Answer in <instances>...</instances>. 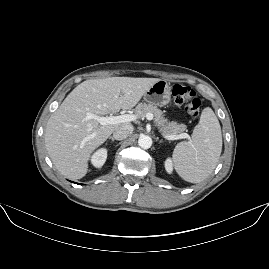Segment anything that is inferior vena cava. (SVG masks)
<instances>
[{"instance_id":"inferior-vena-cava-1","label":"inferior vena cava","mask_w":269,"mask_h":269,"mask_svg":"<svg viewBox=\"0 0 269 269\" xmlns=\"http://www.w3.org/2000/svg\"><path fill=\"white\" fill-rule=\"evenodd\" d=\"M132 127L128 126V125H124L121 126L119 128H117L114 133H113V137L115 140H124L126 138H128L129 136H131L132 134Z\"/></svg>"}]
</instances>
